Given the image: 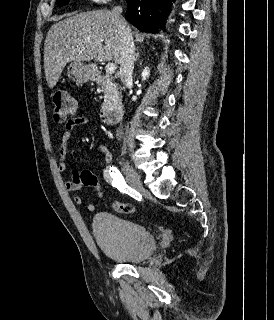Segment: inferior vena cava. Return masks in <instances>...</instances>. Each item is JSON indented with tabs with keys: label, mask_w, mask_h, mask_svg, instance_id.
<instances>
[{
	"label": "inferior vena cava",
	"mask_w": 274,
	"mask_h": 320,
	"mask_svg": "<svg viewBox=\"0 0 274 320\" xmlns=\"http://www.w3.org/2000/svg\"><path fill=\"white\" fill-rule=\"evenodd\" d=\"M111 12L122 44L120 58V78L123 84H126V82H129V80H132L135 62V46L133 42L132 30L129 28L123 16H121L123 12V8H121V6H114Z\"/></svg>",
	"instance_id": "obj_1"
}]
</instances>
